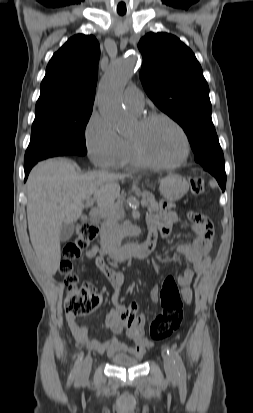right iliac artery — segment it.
I'll return each instance as SVG.
<instances>
[{"label": "right iliac artery", "mask_w": 253, "mask_h": 413, "mask_svg": "<svg viewBox=\"0 0 253 413\" xmlns=\"http://www.w3.org/2000/svg\"><path fill=\"white\" fill-rule=\"evenodd\" d=\"M82 359H83V352H81V353L78 355V359L76 360V362H75V364H74L72 373H71V375H70V379H73L74 376H75V375L77 374V372L79 371V369H80V367H81Z\"/></svg>", "instance_id": "82829eb1"}]
</instances>
